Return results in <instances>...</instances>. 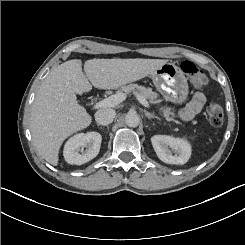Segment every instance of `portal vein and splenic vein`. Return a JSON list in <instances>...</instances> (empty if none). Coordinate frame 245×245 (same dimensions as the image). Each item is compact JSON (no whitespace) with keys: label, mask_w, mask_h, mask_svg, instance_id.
Wrapping results in <instances>:
<instances>
[{"label":"portal vein and splenic vein","mask_w":245,"mask_h":245,"mask_svg":"<svg viewBox=\"0 0 245 245\" xmlns=\"http://www.w3.org/2000/svg\"><path fill=\"white\" fill-rule=\"evenodd\" d=\"M134 97L144 106L148 105L147 100L140 94L134 93ZM127 99L126 93H115L99 102V107H114Z\"/></svg>","instance_id":"portal-vein-and-splenic-vein-1"}]
</instances>
